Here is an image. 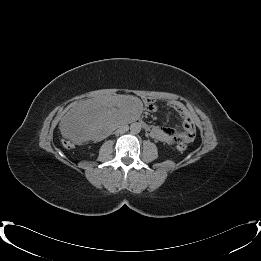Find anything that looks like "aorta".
Instances as JSON below:
<instances>
[{"instance_id":"obj_1","label":"aorta","mask_w":261,"mask_h":261,"mask_svg":"<svg viewBox=\"0 0 261 261\" xmlns=\"http://www.w3.org/2000/svg\"><path fill=\"white\" fill-rule=\"evenodd\" d=\"M130 131L132 134H138L141 131V124L138 122L132 123L130 126Z\"/></svg>"}]
</instances>
